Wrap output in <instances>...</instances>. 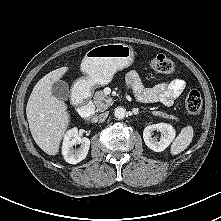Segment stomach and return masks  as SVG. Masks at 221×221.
<instances>
[{
	"label": "stomach",
	"mask_w": 221,
	"mask_h": 221,
	"mask_svg": "<svg viewBox=\"0 0 221 221\" xmlns=\"http://www.w3.org/2000/svg\"><path fill=\"white\" fill-rule=\"evenodd\" d=\"M134 61V51L123 43H110L93 47L84 56L80 69L84 76L77 81L88 89L106 85L114 74L129 67Z\"/></svg>",
	"instance_id": "0dacf381"
}]
</instances>
